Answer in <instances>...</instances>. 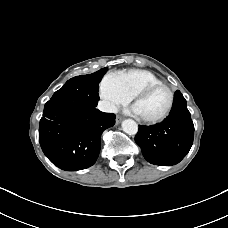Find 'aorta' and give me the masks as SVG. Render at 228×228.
<instances>
[{"mask_svg": "<svg viewBox=\"0 0 228 228\" xmlns=\"http://www.w3.org/2000/svg\"><path fill=\"white\" fill-rule=\"evenodd\" d=\"M122 129L129 135H135L138 132V125L132 119H126L122 122Z\"/></svg>", "mask_w": 228, "mask_h": 228, "instance_id": "aorta-1", "label": "aorta"}]
</instances>
